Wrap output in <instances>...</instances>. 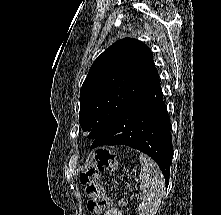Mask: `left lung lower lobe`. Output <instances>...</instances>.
<instances>
[{"instance_id": "left-lung-lower-lobe-1", "label": "left lung lower lobe", "mask_w": 221, "mask_h": 215, "mask_svg": "<svg viewBox=\"0 0 221 215\" xmlns=\"http://www.w3.org/2000/svg\"><path fill=\"white\" fill-rule=\"evenodd\" d=\"M158 81L136 99L93 142L91 149L103 145H127L149 155L160 167L166 187L173 157L170 123Z\"/></svg>"}]
</instances>
